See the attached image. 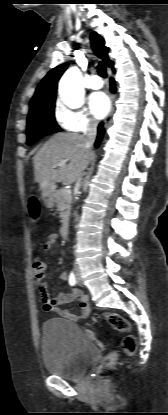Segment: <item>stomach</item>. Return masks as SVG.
I'll list each match as a JSON object with an SVG mask.
<instances>
[{"mask_svg":"<svg viewBox=\"0 0 168 415\" xmlns=\"http://www.w3.org/2000/svg\"><path fill=\"white\" fill-rule=\"evenodd\" d=\"M42 199L44 204L51 208L54 205V193L51 189L44 190L42 193Z\"/></svg>","mask_w":168,"mask_h":415,"instance_id":"0dacf381","label":"stomach"}]
</instances>
